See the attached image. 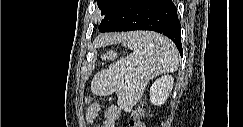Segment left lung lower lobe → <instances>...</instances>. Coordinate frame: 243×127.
Listing matches in <instances>:
<instances>
[{
    "label": "left lung lower lobe",
    "mask_w": 243,
    "mask_h": 127,
    "mask_svg": "<svg viewBox=\"0 0 243 127\" xmlns=\"http://www.w3.org/2000/svg\"><path fill=\"white\" fill-rule=\"evenodd\" d=\"M100 32L153 30L169 37L182 55L180 22L172 0H122Z\"/></svg>",
    "instance_id": "1"
}]
</instances>
